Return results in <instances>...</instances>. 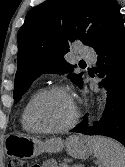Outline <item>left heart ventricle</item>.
<instances>
[{
    "instance_id": "1",
    "label": "left heart ventricle",
    "mask_w": 125,
    "mask_h": 167,
    "mask_svg": "<svg viewBox=\"0 0 125 167\" xmlns=\"http://www.w3.org/2000/svg\"><path fill=\"white\" fill-rule=\"evenodd\" d=\"M74 113L71 98L61 92L47 95L35 110L36 122L44 128H58L68 123Z\"/></svg>"
}]
</instances>
